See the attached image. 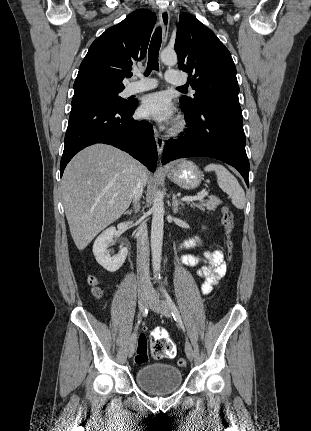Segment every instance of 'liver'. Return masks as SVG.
Wrapping results in <instances>:
<instances>
[{"mask_svg":"<svg viewBox=\"0 0 311 431\" xmlns=\"http://www.w3.org/2000/svg\"><path fill=\"white\" fill-rule=\"evenodd\" d=\"M139 178L147 184V168L113 146L95 144L74 156L65 168L61 192L78 249H85L101 229L126 212Z\"/></svg>","mask_w":311,"mask_h":431,"instance_id":"liver-1","label":"liver"}]
</instances>
